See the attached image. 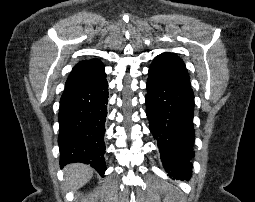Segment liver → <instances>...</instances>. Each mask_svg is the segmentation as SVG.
Segmentation results:
<instances>
[{"instance_id": "obj_1", "label": "liver", "mask_w": 255, "mask_h": 202, "mask_svg": "<svg viewBox=\"0 0 255 202\" xmlns=\"http://www.w3.org/2000/svg\"><path fill=\"white\" fill-rule=\"evenodd\" d=\"M66 182L70 190L84 186L93 175V169L84 164H71L65 167Z\"/></svg>"}]
</instances>
